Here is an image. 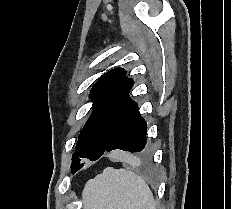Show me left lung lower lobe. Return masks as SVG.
<instances>
[{"mask_svg": "<svg viewBox=\"0 0 233 209\" xmlns=\"http://www.w3.org/2000/svg\"><path fill=\"white\" fill-rule=\"evenodd\" d=\"M147 124L145 120L140 116L137 104L131 107L128 113L120 121V123L114 129L105 152L120 149L129 152H140L144 149L146 143ZM91 161H95L99 158L90 157ZM83 164L77 165L72 171L76 173Z\"/></svg>", "mask_w": 233, "mask_h": 209, "instance_id": "0a47b994", "label": "left lung lower lobe"}]
</instances>
